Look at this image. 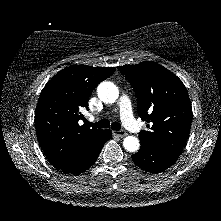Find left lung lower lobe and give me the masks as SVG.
Instances as JSON below:
<instances>
[{
  "mask_svg": "<svg viewBox=\"0 0 221 221\" xmlns=\"http://www.w3.org/2000/svg\"><path fill=\"white\" fill-rule=\"evenodd\" d=\"M178 158L179 154L151 150L143 146L138 153L132 155V160L138 167L151 173H159L168 169Z\"/></svg>",
  "mask_w": 221,
  "mask_h": 221,
  "instance_id": "0a47b994",
  "label": "left lung lower lobe"
}]
</instances>
